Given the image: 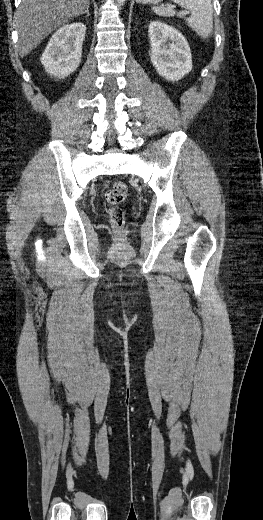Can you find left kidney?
Wrapping results in <instances>:
<instances>
[{"instance_id": "5707ae66", "label": "left kidney", "mask_w": 263, "mask_h": 520, "mask_svg": "<svg viewBox=\"0 0 263 520\" xmlns=\"http://www.w3.org/2000/svg\"><path fill=\"white\" fill-rule=\"evenodd\" d=\"M151 62L158 74L168 81H178L192 70L190 47L174 27L160 21L149 25Z\"/></svg>"}]
</instances>
